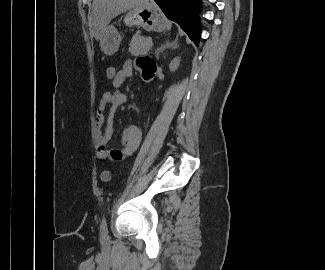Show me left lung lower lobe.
<instances>
[{
	"mask_svg": "<svg viewBox=\"0 0 325 270\" xmlns=\"http://www.w3.org/2000/svg\"><path fill=\"white\" fill-rule=\"evenodd\" d=\"M166 17L175 21L198 46L201 35V0H155Z\"/></svg>",
	"mask_w": 325,
	"mask_h": 270,
	"instance_id": "left-lung-lower-lobe-1",
	"label": "left lung lower lobe"
}]
</instances>
